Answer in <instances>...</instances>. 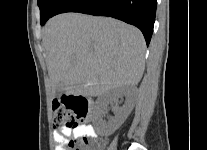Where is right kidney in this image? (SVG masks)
<instances>
[{
  "mask_svg": "<svg viewBox=\"0 0 207 150\" xmlns=\"http://www.w3.org/2000/svg\"><path fill=\"white\" fill-rule=\"evenodd\" d=\"M131 90L128 87H118L115 88L100 97L96 100L95 108H94V117L98 121H102L103 115L106 112V108L108 104H116L113 108L114 117L108 122L104 124L105 133L110 135L114 133L126 120L128 115L132 110V105L130 103ZM127 98L126 104L122 107H118L117 103L119 98Z\"/></svg>",
  "mask_w": 207,
  "mask_h": 150,
  "instance_id": "right-kidney-1",
  "label": "right kidney"
}]
</instances>
